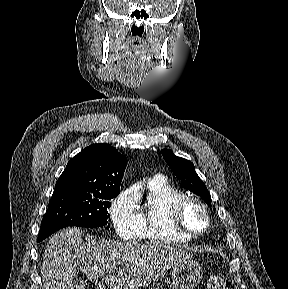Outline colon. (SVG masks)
I'll list each match as a JSON object with an SVG mask.
<instances>
[{
  "instance_id": "1",
  "label": "colon",
  "mask_w": 288,
  "mask_h": 289,
  "mask_svg": "<svg viewBox=\"0 0 288 289\" xmlns=\"http://www.w3.org/2000/svg\"><path fill=\"white\" fill-rule=\"evenodd\" d=\"M206 289H228L227 280L216 274H209L206 278Z\"/></svg>"
}]
</instances>
